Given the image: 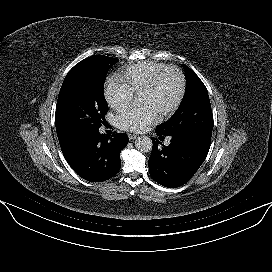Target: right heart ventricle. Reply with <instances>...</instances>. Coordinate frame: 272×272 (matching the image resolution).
Here are the masks:
<instances>
[{
  "label": "right heart ventricle",
  "mask_w": 272,
  "mask_h": 272,
  "mask_svg": "<svg viewBox=\"0 0 272 272\" xmlns=\"http://www.w3.org/2000/svg\"><path fill=\"white\" fill-rule=\"evenodd\" d=\"M166 64L157 61L143 60L126 66L120 73L130 89L139 93L144 86L158 73Z\"/></svg>",
  "instance_id": "obj_1"
}]
</instances>
